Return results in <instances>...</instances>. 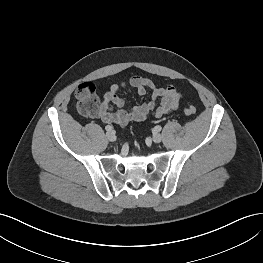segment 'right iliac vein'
Returning a JSON list of instances; mask_svg holds the SVG:
<instances>
[{
    "label": "right iliac vein",
    "instance_id": "right-iliac-vein-1",
    "mask_svg": "<svg viewBox=\"0 0 263 263\" xmlns=\"http://www.w3.org/2000/svg\"><path fill=\"white\" fill-rule=\"evenodd\" d=\"M106 138H107L109 141L113 142V141L116 140V135H115L113 132H107V133H106Z\"/></svg>",
    "mask_w": 263,
    "mask_h": 263
}]
</instances>
